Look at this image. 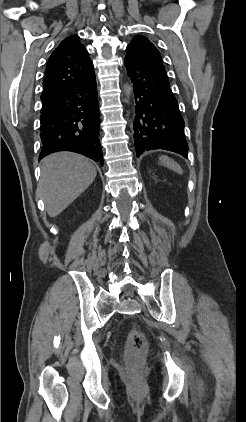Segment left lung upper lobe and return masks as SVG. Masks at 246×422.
I'll return each instance as SVG.
<instances>
[{
  "mask_svg": "<svg viewBox=\"0 0 246 422\" xmlns=\"http://www.w3.org/2000/svg\"><path fill=\"white\" fill-rule=\"evenodd\" d=\"M132 50L155 71L167 77L165 68L161 61V55L156 47L144 36H136L127 46L126 51Z\"/></svg>",
  "mask_w": 246,
  "mask_h": 422,
  "instance_id": "1",
  "label": "left lung upper lobe"
}]
</instances>
